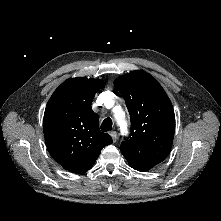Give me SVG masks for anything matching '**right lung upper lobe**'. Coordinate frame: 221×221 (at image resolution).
Wrapping results in <instances>:
<instances>
[{
  "label": "right lung upper lobe",
  "instance_id": "cb5924a9",
  "mask_svg": "<svg viewBox=\"0 0 221 221\" xmlns=\"http://www.w3.org/2000/svg\"><path fill=\"white\" fill-rule=\"evenodd\" d=\"M104 82L85 77L64 81L49 99L43 120L49 153L63 168L73 173L90 169L102 148L113 142L99 130V116L91 104Z\"/></svg>",
  "mask_w": 221,
  "mask_h": 221
}]
</instances>
